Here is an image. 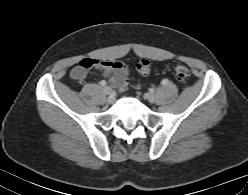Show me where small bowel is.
Returning a JSON list of instances; mask_svg holds the SVG:
<instances>
[{
    "label": "small bowel",
    "instance_id": "c3829d8e",
    "mask_svg": "<svg viewBox=\"0 0 248 195\" xmlns=\"http://www.w3.org/2000/svg\"><path fill=\"white\" fill-rule=\"evenodd\" d=\"M91 60L94 63V66L91 70L97 71L105 78H107L109 84L113 88H118L119 81L122 78L127 77V68L125 64L121 61L93 60V59ZM86 75L81 79H75V80H77L78 82H82L86 78Z\"/></svg>",
    "mask_w": 248,
    "mask_h": 195
}]
</instances>
